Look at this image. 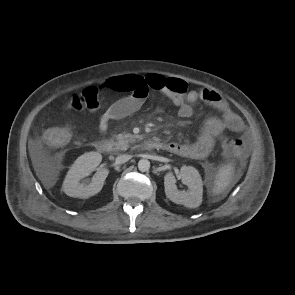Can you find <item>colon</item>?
Here are the masks:
<instances>
[{
	"instance_id": "obj_1",
	"label": "colon",
	"mask_w": 295,
	"mask_h": 295,
	"mask_svg": "<svg viewBox=\"0 0 295 295\" xmlns=\"http://www.w3.org/2000/svg\"><path fill=\"white\" fill-rule=\"evenodd\" d=\"M102 94L96 88H89L79 95L73 96L67 107L72 110L84 108L95 110L99 107ZM46 142L52 146L60 147L69 140V133L64 128H51L44 133ZM223 153L228 158H240L244 155L243 142L238 138L229 137L222 142Z\"/></svg>"
}]
</instances>
